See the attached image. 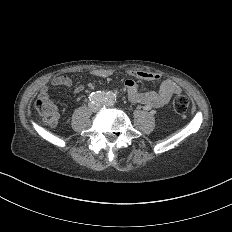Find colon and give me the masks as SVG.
Masks as SVG:
<instances>
[{"label": "colon", "mask_w": 232, "mask_h": 232, "mask_svg": "<svg viewBox=\"0 0 232 232\" xmlns=\"http://www.w3.org/2000/svg\"><path fill=\"white\" fill-rule=\"evenodd\" d=\"M53 100L52 96H37V109L38 113H47L45 117V125L48 129H55L58 121L57 117H60V112L57 108H52L50 101ZM174 107V114H188L193 109V104L190 101L187 94H176L172 102Z\"/></svg>", "instance_id": "1"}]
</instances>
